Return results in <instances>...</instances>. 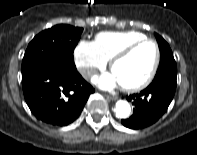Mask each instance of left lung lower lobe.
<instances>
[{
    "instance_id": "1",
    "label": "left lung lower lobe",
    "mask_w": 197,
    "mask_h": 155,
    "mask_svg": "<svg viewBox=\"0 0 197 155\" xmlns=\"http://www.w3.org/2000/svg\"><path fill=\"white\" fill-rule=\"evenodd\" d=\"M176 90V80L154 79L143 91L127 97L134 105L133 115L121 120L125 127L141 129L155 123L167 110Z\"/></svg>"
}]
</instances>
